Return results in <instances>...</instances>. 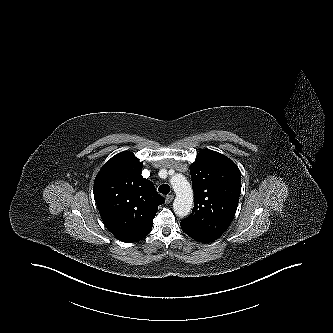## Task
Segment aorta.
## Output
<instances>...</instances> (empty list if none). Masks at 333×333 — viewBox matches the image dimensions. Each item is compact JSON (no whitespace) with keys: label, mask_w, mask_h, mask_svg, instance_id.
Masks as SVG:
<instances>
[{"label":"aorta","mask_w":333,"mask_h":333,"mask_svg":"<svg viewBox=\"0 0 333 333\" xmlns=\"http://www.w3.org/2000/svg\"><path fill=\"white\" fill-rule=\"evenodd\" d=\"M171 185L176 193L173 210L179 217H186L193 206V191L187 179L180 174L172 177Z\"/></svg>","instance_id":"1"}]
</instances>
